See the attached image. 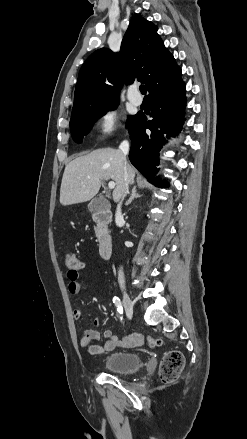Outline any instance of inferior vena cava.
<instances>
[{
  "label": "inferior vena cava",
  "instance_id": "1",
  "mask_svg": "<svg viewBox=\"0 0 247 439\" xmlns=\"http://www.w3.org/2000/svg\"><path fill=\"white\" fill-rule=\"evenodd\" d=\"M120 150L123 152V154L126 156L129 152V143L128 141L124 140L120 146H119ZM124 180H125V192H124V196L125 194L128 192V174H127V169L126 167H124ZM123 220L122 214H121V203L118 204L117 206V211H116V215H115V221L116 223H119L120 221ZM118 282L120 287H124L125 286V279H124V273H123V269L120 268L119 272H118Z\"/></svg>",
  "mask_w": 247,
  "mask_h": 439
}]
</instances>
